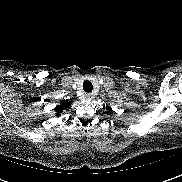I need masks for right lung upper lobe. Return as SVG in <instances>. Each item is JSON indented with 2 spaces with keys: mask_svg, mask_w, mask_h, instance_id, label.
Masks as SVG:
<instances>
[{
  "mask_svg": "<svg viewBox=\"0 0 182 182\" xmlns=\"http://www.w3.org/2000/svg\"><path fill=\"white\" fill-rule=\"evenodd\" d=\"M72 104L71 101L69 100H63L61 101L60 105L55 107V112L57 116H60V114L67 108H69V106Z\"/></svg>",
  "mask_w": 182,
  "mask_h": 182,
  "instance_id": "1",
  "label": "right lung upper lobe"
}]
</instances>
